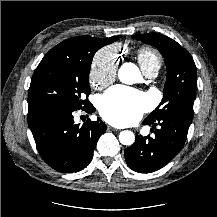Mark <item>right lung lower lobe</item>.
<instances>
[{"label": "right lung lower lobe", "instance_id": "98d812e1", "mask_svg": "<svg viewBox=\"0 0 217 217\" xmlns=\"http://www.w3.org/2000/svg\"><path fill=\"white\" fill-rule=\"evenodd\" d=\"M83 111L92 113L90 103ZM67 108H42L28 112V125L43 160L61 173L78 172L92 160L93 151L106 125L98 119L88 120L81 127L73 122V112Z\"/></svg>", "mask_w": 217, "mask_h": 217}]
</instances>
